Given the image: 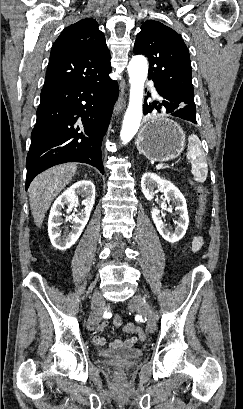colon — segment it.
Here are the masks:
<instances>
[{"mask_svg":"<svg viewBox=\"0 0 243 409\" xmlns=\"http://www.w3.org/2000/svg\"><path fill=\"white\" fill-rule=\"evenodd\" d=\"M207 194L208 191L205 187L200 186L198 188V197H199V206L197 210V215H196V227L199 228L202 223L203 215L205 213L206 205H207ZM198 236H194L192 239V242L196 239ZM113 323L114 325L120 327L123 326V330L127 333H135L139 336L141 340L145 339V333L142 328L132 324V323H127L123 324V320L119 315H115L113 318Z\"/></svg>","mask_w":243,"mask_h":409,"instance_id":"colon-1","label":"colon"}]
</instances>
